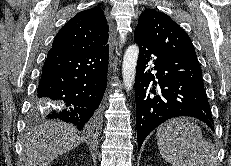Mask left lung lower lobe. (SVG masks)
<instances>
[{"instance_id": "left-lung-lower-lobe-1", "label": "left lung lower lobe", "mask_w": 231, "mask_h": 166, "mask_svg": "<svg viewBox=\"0 0 231 166\" xmlns=\"http://www.w3.org/2000/svg\"><path fill=\"white\" fill-rule=\"evenodd\" d=\"M134 41L140 48L135 77L138 149L152 130L173 117H195L214 129L198 59L160 50L137 35Z\"/></svg>"}]
</instances>
